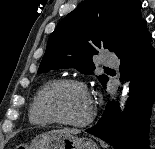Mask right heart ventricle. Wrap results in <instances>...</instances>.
I'll list each match as a JSON object with an SVG mask.
<instances>
[{
	"instance_id": "e07e8e85",
	"label": "right heart ventricle",
	"mask_w": 155,
	"mask_h": 149,
	"mask_svg": "<svg viewBox=\"0 0 155 149\" xmlns=\"http://www.w3.org/2000/svg\"><path fill=\"white\" fill-rule=\"evenodd\" d=\"M54 80L44 83L34 95L28 110L29 122L34 126H49L54 123L42 110L41 98L45 88Z\"/></svg>"
}]
</instances>
